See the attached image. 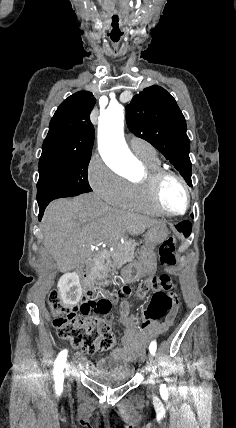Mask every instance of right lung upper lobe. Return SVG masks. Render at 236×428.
Returning a JSON list of instances; mask_svg holds the SVG:
<instances>
[{
  "label": "right lung upper lobe",
  "mask_w": 236,
  "mask_h": 428,
  "mask_svg": "<svg viewBox=\"0 0 236 428\" xmlns=\"http://www.w3.org/2000/svg\"><path fill=\"white\" fill-rule=\"evenodd\" d=\"M95 102L88 91H79L64 100L51 119L42 155H91L94 127L89 115Z\"/></svg>",
  "instance_id": "1"
}]
</instances>
